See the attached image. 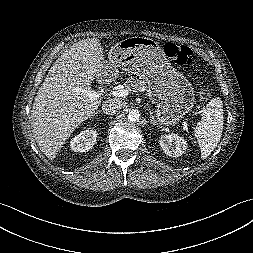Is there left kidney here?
I'll list each match as a JSON object with an SVG mask.
<instances>
[{"label":"left kidney","instance_id":"5707ae66","mask_svg":"<svg viewBox=\"0 0 253 253\" xmlns=\"http://www.w3.org/2000/svg\"><path fill=\"white\" fill-rule=\"evenodd\" d=\"M159 142L164 153L170 157H179L187 149V141L175 133L162 135Z\"/></svg>","mask_w":253,"mask_h":253}]
</instances>
